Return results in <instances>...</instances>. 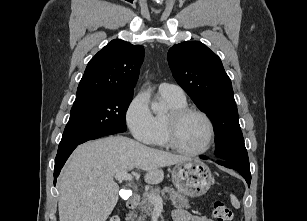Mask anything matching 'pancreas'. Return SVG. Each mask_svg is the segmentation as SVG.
<instances>
[{"label": "pancreas", "instance_id": "obj_1", "mask_svg": "<svg viewBox=\"0 0 307 221\" xmlns=\"http://www.w3.org/2000/svg\"><path fill=\"white\" fill-rule=\"evenodd\" d=\"M167 194L170 197L172 205L176 208H185L189 209L191 206L189 204V200L181 193L175 191L173 188L164 187L163 189L155 188L151 189L148 193L144 194L142 199L139 202V211L138 215L136 212L133 213L129 219L130 221H146L147 216H150L153 210L154 205L151 203L149 196Z\"/></svg>", "mask_w": 307, "mask_h": 221}]
</instances>
